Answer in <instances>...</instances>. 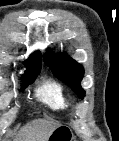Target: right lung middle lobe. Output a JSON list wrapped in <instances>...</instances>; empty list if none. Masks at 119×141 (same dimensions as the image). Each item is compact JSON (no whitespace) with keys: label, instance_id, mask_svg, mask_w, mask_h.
<instances>
[{"label":"right lung middle lobe","instance_id":"obj_1","mask_svg":"<svg viewBox=\"0 0 119 141\" xmlns=\"http://www.w3.org/2000/svg\"><path fill=\"white\" fill-rule=\"evenodd\" d=\"M39 73H40V71H36V72L29 73V74H25L22 77L23 89L26 88L28 84L32 83Z\"/></svg>","mask_w":119,"mask_h":141}]
</instances>
